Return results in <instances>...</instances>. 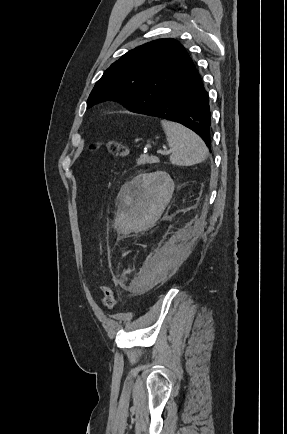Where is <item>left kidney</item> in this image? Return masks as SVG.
<instances>
[{
	"instance_id": "obj_1",
	"label": "left kidney",
	"mask_w": 287,
	"mask_h": 434,
	"mask_svg": "<svg viewBox=\"0 0 287 434\" xmlns=\"http://www.w3.org/2000/svg\"><path fill=\"white\" fill-rule=\"evenodd\" d=\"M174 191V182L163 171L140 174L126 184L123 194L124 206L132 216L153 221L169 203Z\"/></svg>"
}]
</instances>
